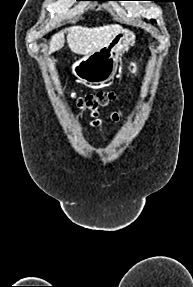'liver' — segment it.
I'll use <instances>...</instances> for the list:
<instances>
[{"label":"liver","mask_w":193,"mask_h":287,"mask_svg":"<svg viewBox=\"0 0 193 287\" xmlns=\"http://www.w3.org/2000/svg\"><path fill=\"white\" fill-rule=\"evenodd\" d=\"M121 30L119 25H104L87 28L73 26L67 29V42L71 51L79 55H90L103 48ZM63 31L53 35L49 53L55 52L64 46Z\"/></svg>","instance_id":"liver-1"}]
</instances>
